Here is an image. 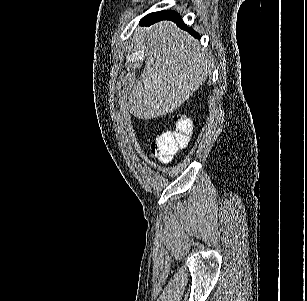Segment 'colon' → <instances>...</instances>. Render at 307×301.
Masks as SVG:
<instances>
[{
	"instance_id": "5ec220e1",
	"label": "colon",
	"mask_w": 307,
	"mask_h": 301,
	"mask_svg": "<svg viewBox=\"0 0 307 301\" xmlns=\"http://www.w3.org/2000/svg\"><path fill=\"white\" fill-rule=\"evenodd\" d=\"M192 122L182 115L175 117V129L158 135L152 141V151L163 160H169L179 149L188 144Z\"/></svg>"
}]
</instances>
